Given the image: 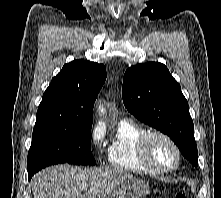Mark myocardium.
Wrapping results in <instances>:
<instances>
[{"label": "myocardium", "mask_w": 221, "mask_h": 198, "mask_svg": "<svg viewBox=\"0 0 221 198\" xmlns=\"http://www.w3.org/2000/svg\"><path fill=\"white\" fill-rule=\"evenodd\" d=\"M153 137H161L173 147L176 153V162L172 167L163 168L156 165L151 160L149 155V143ZM138 155L142 164L157 174H168L174 172L178 169L182 159V153L176 141L170 135L161 130H147L145 133H143L138 141Z\"/></svg>", "instance_id": "1"}]
</instances>
